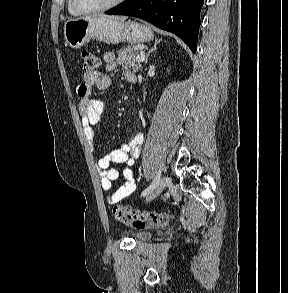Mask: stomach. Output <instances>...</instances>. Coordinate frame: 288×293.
<instances>
[{
    "instance_id": "stomach-1",
    "label": "stomach",
    "mask_w": 288,
    "mask_h": 293,
    "mask_svg": "<svg viewBox=\"0 0 288 293\" xmlns=\"http://www.w3.org/2000/svg\"><path fill=\"white\" fill-rule=\"evenodd\" d=\"M64 37L68 46L78 49L93 39L108 44L148 42L153 39V32L149 27L135 21L89 16L67 20Z\"/></svg>"
}]
</instances>
